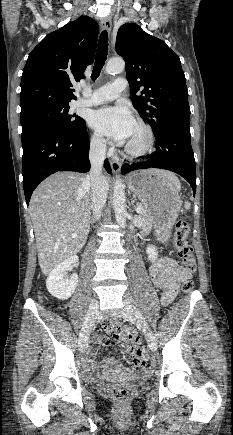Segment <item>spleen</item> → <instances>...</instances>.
Here are the masks:
<instances>
[{
    "label": "spleen",
    "mask_w": 233,
    "mask_h": 435,
    "mask_svg": "<svg viewBox=\"0 0 233 435\" xmlns=\"http://www.w3.org/2000/svg\"><path fill=\"white\" fill-rule=\"evenodd\" d=\"M190 203L189 202H185V205H184V207H185V209H190Z\"/></svg>",
    "instance_id": "3e777b00"
}]
</instances>
